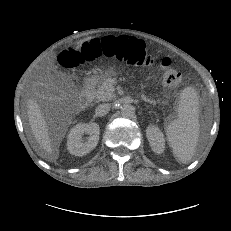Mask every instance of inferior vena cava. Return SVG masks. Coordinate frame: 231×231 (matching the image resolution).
Segmentation results:
<instances>
[{"instance_id":"obj_1","label":"inferior vena cava","mask_w":231,"mask_h":231,"mask_svg":"<svg viewBox=\"0 0 231 231\" xmlns=\"http://www.w3.org/2000/svg\"><path fill=\"white\" fill-rule=\"evenodd\" d=\"M110 104L109 103H104L100 104L96 107V115L99 117H102L106 115L110 111Z\"/></svg>"}]
</instances>
